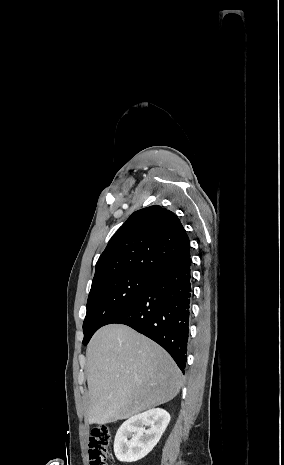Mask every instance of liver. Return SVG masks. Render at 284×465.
Returning a JSON list of instances; mask_svg holds the SVG:
<instances>
[{"label":"liver","mask_w":284,"mask_h":465,"mask_svg":"<svg viewBox=\"0 0 284 465\" xmlns=\"http://www.w3.org/2000/svg\"><path fill=\"white\" fill-rule=\"evenodd\" d=\"M89 425L129 419L178 395L181 373L159 345L126 325H106L86 351Z\"/></svg>","instance_id":"obj_1"}]
</instances>
